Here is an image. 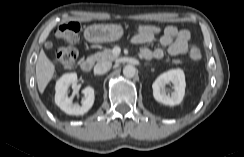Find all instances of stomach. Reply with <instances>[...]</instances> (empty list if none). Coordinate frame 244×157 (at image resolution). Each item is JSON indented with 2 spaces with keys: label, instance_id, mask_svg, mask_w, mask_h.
<instances>
[{
  "label": "stomach",
  "instance_id": "1",
  "mask_svg": "<svg viewBox=\"0 0 244 157\" xmlns=\"http://www.w3.org/2000/svg\"><path fill=\"white\" fill-rule=\"evenodd\" d=\"M122 35L123 28L114 24H94L85 30V38L92 43L117 41Z\"/></svg>",
  "mask_w": 244,
  "mask_h": 157
}]
</instances>
